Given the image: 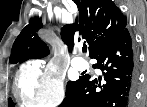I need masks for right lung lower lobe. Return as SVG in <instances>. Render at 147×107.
Wrapping results in <instances>:
<instances>
[{
  "label": "right lung lower lobe",
  "mask_w": 147,
  "mask_h": 107,
  "mask_svg": "<svg viewBox=\"0 0 147 107\" xmlns=\"http://www.w3.org/2000/svg\"><path fill=\"white\" fill-rule=\"evenodd\" d=\"M92 58L97 60L93 67L102 71L98 81L81 77L59 107H131L138 72L128 29Z\"/></svg>",
  "instance_id": "98d812e1"
}]
</instances>
